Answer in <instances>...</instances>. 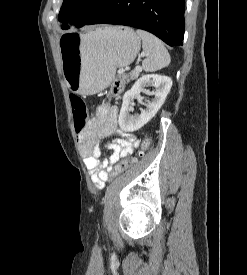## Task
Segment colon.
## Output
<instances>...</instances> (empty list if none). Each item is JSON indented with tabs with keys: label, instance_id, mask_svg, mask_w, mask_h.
<instances>
[{
	"label": "colon",
	"instance_id": "colon-1",
	"mask_svg": "<svg viewBox=\"0 0 247 275\" xmlns=\"http://www.w3.org/2000/svg\"><path fill=\"white\" fill-rule=\"evenodd\" d=\"M124 73H120L116 79L113 81L110 94L112 97H117L120 95V93L123 90L124 86ZM70 102L72 107V113H73V120H74V127L77 133L82 132V130L85 128L87 119H88V108L85 103V101L77 96V95H71L70 96ZM148 146V139L145 138L141 145V150L131 155L125 159H122L119 161L113 171L111 172L110 178H115L118 175L125 172L129 167L137 163L139 160V157L143 154V150Z\"/></svg>",
	"mask_w": 247,
	"mask_h": 275
}]
</instances>
